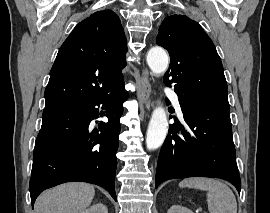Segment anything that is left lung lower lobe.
Listing matches in <instances>:
<instances>
[{
  "instance_id": "0a47b994",
  "label": "left lung lower lobe",
  "mask_w": 270,
  "mask_h": 213,
  "mask_svg": "<svg viewBox=\"0 0 270 213\" xmlns=\"http://www.w3.org/2000/svg\"><path fill=\"white\" fill-rule=\"evenodd\" d=\"M178 99L189 132L170 125L158 158L156 188L169 179L201 176L227 180L240 193L229 109L179 95ZM179 129L183 137L177 136Z\"/></svg>"
}]
</instances>
